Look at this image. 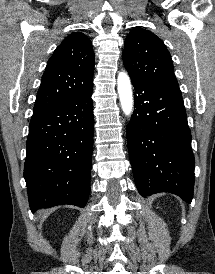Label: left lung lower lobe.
<instances>
[{
	"label": "left lung lower lobe",
	"mask_w": 215,
	"mask_h": 274,
	"mask_svg": "<svg viewBox=\"0 0 215 274\" xmlns=\"http://www.w3.org/2000/svg\"><path fill=\"white\" fill-rule=\"evenodd\" d=\"M131 81L135 109L126 133L137 189L143 197L170 192L190 203L195 161L182 96Z\"/></svg>",
	"instance_id": "0a47b994"
}]
</instances>
